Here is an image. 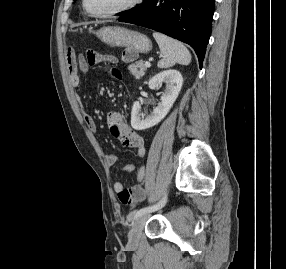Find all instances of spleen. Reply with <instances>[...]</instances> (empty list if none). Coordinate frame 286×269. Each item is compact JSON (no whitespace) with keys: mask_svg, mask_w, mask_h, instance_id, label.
I'll list each match as a JSON object with an SVG mask.
<instances>
[{"mask_svg":"<svg viewBox=\"0 0 286 269\" xmlns=\"http://www.w3.org/2000/svg\"><path fill=\"white\" fill-rule=\"evenodd\" d=\"M153 37L163 54V59L157 64L159 68H169L176 63L181 65H188L190 63L191 54L181 42L158 32H154Z\"/></svg>","mask_w":286,"mask_h":269,"instance_id":"obj_1","label":"spleen"}]
</instances>
